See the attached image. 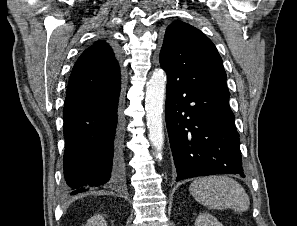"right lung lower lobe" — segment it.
<instances>
[{"instance_id":"obj_1","label":"right lung lower lobe","mask_w":297,"mask_h":226,"mask_svg":"<svg viewBox=\"0 0 297 226\" xmlns=\"http://www.w3.org/2000/svg\"><path fill=\"white\" fill-rule=\"evenodd\" d=\"M122 102L121 82L66 96L64 177L68 194L122 183Z\"/></svg>"}]
</instances>
